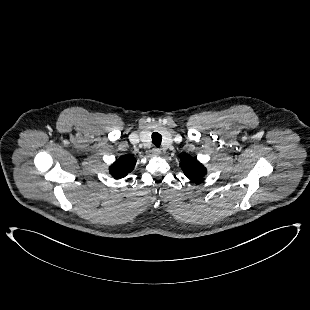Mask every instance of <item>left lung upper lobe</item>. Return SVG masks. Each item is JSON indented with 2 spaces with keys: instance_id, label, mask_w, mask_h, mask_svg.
<instances>
[{
  "instance_id": "left-lung-upper-lobe-1",
  "label": "left lung upper lobe",
  "mask_w": 310,
  "mask_h": 310,
  "mask_svg": "<svg viewBox=\"0 0 310 310\" xmlns=\"http://www.w3.org/2000/svg\"><path fill=\"white\" fill-rule=\"evenodd\" d=\"M180 166L191 181L198 182L206 175V168L191 156L181 158Z\"/></svg>"
}]
</instances>
